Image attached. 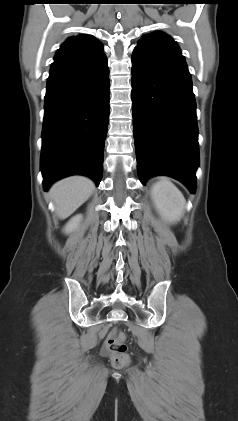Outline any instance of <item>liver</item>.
Returning <instances> with one entry per match:
<instances>
[{
  "instance_id": "6515ba94",
  "label": "liver",
  "mask_w": 238,
  "mask_h": 421,
  "mask_svg": "<svg viewBox=\"0 0 238 421\" xmlns=\"http://www.w3.org/2000/svg\"><path fill=\"white\" fill-rule=\"evenodd\" d=\"M94 188V182L83 176H72L56 182L50 189V197L58 217H69L91 196Z\"/></svg>"
}]
</instances>
